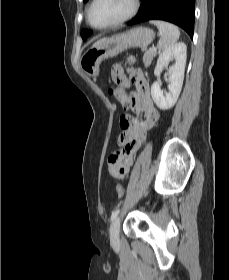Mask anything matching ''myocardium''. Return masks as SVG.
I'll use <instances>...</instances> for the list:
<instances>
[{"instance_id": "1", "label": "myocardium", "mask_w": 229, "mask_h": 280, "mask_svg": "<svg viewBox=\"0 0 229 280\" xmlns=\"http://www.w3.org/2000/svg\"><path fill=\"white\" fill-rule=\"evenodd\" d=\"M98 0H93L88 8V11H87V21L88 23L96 28V29H107V28H111V27H115V26H118V25H121L129 20H131L136 14L137 12L139 11V8H140V0H131V8H130V11L124 15L123 17L111 22V23H108V24H105V25H102V26H97V25H94L91 21V13H92V9L94 7V5L97 3Z\"/></svg>"}]
</instances>
